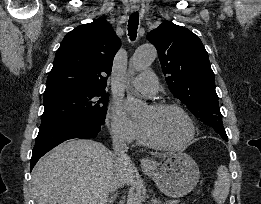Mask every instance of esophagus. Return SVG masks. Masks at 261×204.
<instances>
[{
    "mask_svg": "<svg viewBox=\"0 0 261 204\" xmlns=\"http://www.w3.org/2000/svg\"><path fill=\"white\" fill-rule=\"evenodd\" d=\"M138 8H139L138 5H132L131 6L132 11H137ZM141 166H142V168L149 169V168H152L154 166V162L149 158H143L141 160Z\"/></svg>",
    "mask_w": 261,
    "mask_h": 204,
    "instance_id": "obj_1",
    "label": "esophagus"
}]
</instances>
